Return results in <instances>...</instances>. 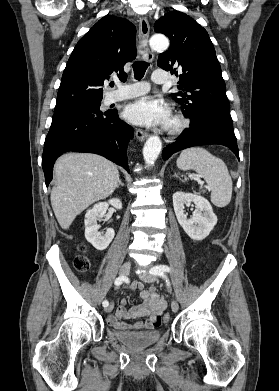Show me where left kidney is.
Here are the masks:
<instances>
[{"instance_id": "1", "label": "left kidney", "mask_w": 279, "mask_h": 391, "mask_svg": "<svg viewBox=\"0 0 279 391\" xmlns=\"http://www.w3.org/2000/svg\"><path fill=\"white\" fill-rule=\"evenodd\" d=\"M191 202L196 205L198 210L188 219L184 214V205ZM173 207L179 224L194 240L205 239L217 223V216L213 212L211 204L200 195L176 192L173 195Z\"/></svg>"}]
</instances>
